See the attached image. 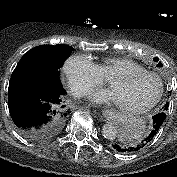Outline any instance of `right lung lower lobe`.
<instances>
[{"mask_svg":"<svg viewBox=\"0 0 177 177\" xmlns=\"http://www.w3.org/2000/svg\"><path fill=\"white\" fill-rule=\"evenodd\" d=\"M65 93L62 84L43 77L11 78L8 107L18 130L33 140L58 134L70 113Z\"/></svg>","mask_w":177,"mask_h":177,"instance_id":"98d812e1","label":"right lung lower lobe"}]
</instances>
